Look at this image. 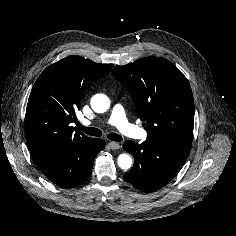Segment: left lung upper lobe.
Here are the masks:
<instances>
[{"instance_id": "1", "label": "left lung upper lobe", "mask_w": 236, "mask_h": 236, "mask_svg": "<svg viewBox=\"0 0 236 236\" xmlns=\"http://www.w3.org/2000/svg\"><path fill=\"white\" fill-rule=\"evenodd\" d=\"M112 75L130 90L148 138L191 148L193 95L187 78L173 63L152 56L116 66Z\"/></svg>"}]
</instances>
